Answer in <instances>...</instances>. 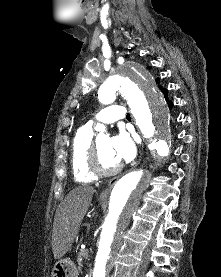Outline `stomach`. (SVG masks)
Wrapping results in <instances>:
<instances>
[{"label":"stomach","instance_id":"obj_1","mask_svg":"<svg viewBox=\"0 0 221 277\" xmlns=\"http://www.w3.org/2000/svg\"><path fill=\"white\" fill-rule=\"evenodd\" d=\"M78 275V269L70 258L57 261L51 273V277H78Z\"/></svg>","mask_w":221,"mask_h":277}]
</instances>
